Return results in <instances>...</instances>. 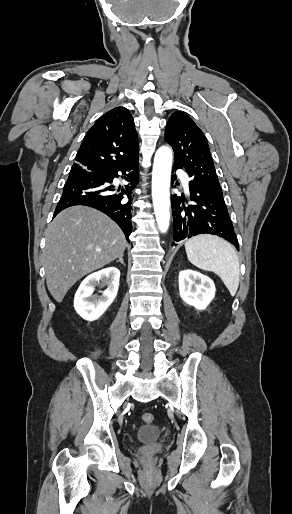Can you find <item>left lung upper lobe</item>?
I'll return each instance as SVG.
<instances>
[{
  "label": "left lung upper lobe",
  "instance_id": "1",
  "mask_svg": "<svg viewBox=\"0 0 292 514\" xmlns=\"http://www.w3.org/2000/svg\"><path fill=\"white\" fill-rule=\"evenodd\" d=\"M164 140L173 148L174 165L185 169L191 183L222 192L206 137L189 116L174 112L166 125Z\"/></svg>",
  "mask_w": 292,
  "mask_h": 514
}]
</instances>
